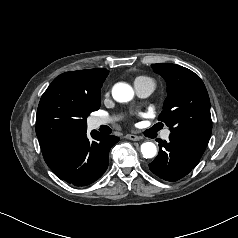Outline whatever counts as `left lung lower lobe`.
<instances>
[{"instance_id": "1", "label": "left lung lower lobe", "mask_w": 238, "mask_h": 238, "mask_svg": "<svg viewBox=\"0 0 238 238\" xmlns=\"http://www.w3.org/2000/svg\"><path fill=\"white\" fill-rule=\"evenodd\" d=\"M207 144V141L171 132L168 142L160 141L158 156L149 168L164 180L177 181L199 163Z\"/></svg>"}]
</instances>
